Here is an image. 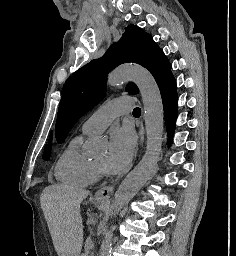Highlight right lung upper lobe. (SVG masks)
Here are the masks:
<instances>
[{"label":"right lung upper lobe","instance_id":"obj_1","mask_svg":"<svg viewBox=\"0 0 236 256\" xmlns=\"http://www.w3.org/2000/svg\"><path fill=\"white\" fill-rule=\"evenodd\" d=\"M51 142H52V133H51L50 138H49V143H51Z\"/></svg>","mask_w":236,"mask_h":256}]
</instances>
